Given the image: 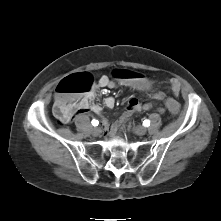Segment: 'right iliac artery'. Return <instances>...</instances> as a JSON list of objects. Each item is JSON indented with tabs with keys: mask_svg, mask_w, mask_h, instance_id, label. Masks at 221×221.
<instances>
[{
	"mask_svg": "<svg viewBox=\"0 0 221 221\" xmlns=\"http://www.w3.org/2000/svg\"><path fill=\"white\" fill-rule=\"evenodd\" d=\"M98 124H99L98 120H96V119L92 120V125L93 126H97Z\"/></svg>",
	"mask_w": 221,
	"mask_h": 221,
	"instance_id": "82829eb1",
	"label": "right iliac artery"
}]
</instances>
